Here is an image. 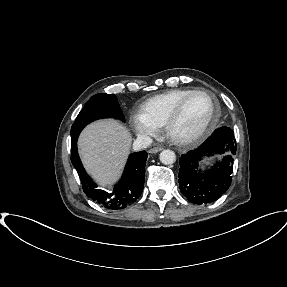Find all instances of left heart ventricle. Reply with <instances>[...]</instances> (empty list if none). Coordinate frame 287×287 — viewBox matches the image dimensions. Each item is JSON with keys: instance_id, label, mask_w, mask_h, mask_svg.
I'll return each mask as SVG.
<instances>
[{"instance_id": "b2bd125f", "label": "left heart ventricle", "mask_w": 287, "mask_h": 287, "mask_svg": "<svg viewBox=\"0 0 287 287\" xmlns=\"http://www.w3.org/2000/svg\"><path fill=\"white\" fill-rule=\"evenodd\" d=\"M210 112L211 102L207 96H192L173 125L172 133L175 136H187L199 131L208 120Z\"/></svg>"}]
</instances>
